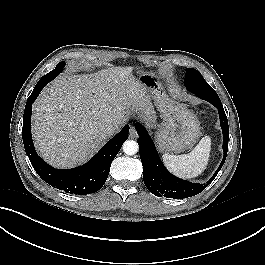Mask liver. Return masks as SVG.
Wrapping results in <instances>:
<instances>
[{
	"label": "liver",
	"mask_w": 265,
	"mask_h": 265,
	"mask_svg": "<svg viewBox=\"0 0 265 265\" xmlns=\"http://www.w3.org/2000/svg\"><path fill=\"white\" fill-rule=\"evenodd\" d=\"M132 67L59 78L46 87L33 107L32 134L43 159L57 168L86 162L133 115L153 123L151 100L132 75Z\"/></svg>",
	"instance_id": "obj_1"
}]
</instances>
